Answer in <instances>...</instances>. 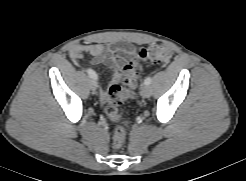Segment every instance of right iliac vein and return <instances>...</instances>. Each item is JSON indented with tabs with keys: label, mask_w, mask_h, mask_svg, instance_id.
Segmentation results:
<instances>
[{
	"label": "right iliac vein",
	"mask_w": 246,
	"mask_h": 181,
	"mask_svg": "<svg viewBox=\"0 0 246 181\" xmlns=\"http://www.w3.org/2000/svg\"><path fill=\"white\" fill-rule=\"evenodd\" d=\"M90 88H91L92 91H95L96 88H97V83H96V81L94 79L90 80Z\"/></svg>",
	"instance_id": "obj_1"
}]
</instances>
